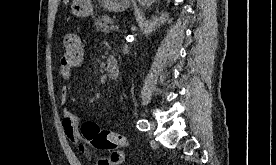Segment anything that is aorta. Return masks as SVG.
Returning <instances> with one entry per match:
<instances>
[{"label":"aorta","mask_w":276,"mask_h":165,"mask_svg":"<svg viewBox=\"0 0 276 165\" xmlns=\"http://www.w3.org/2000/svg\"><path fill=\"white\" fill-rule=\"evenodd\" d=\"M155 0H138V3L141 7L149 6Z\"/></svg>","instance_id":"aorta-1"}]
</instances>
